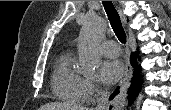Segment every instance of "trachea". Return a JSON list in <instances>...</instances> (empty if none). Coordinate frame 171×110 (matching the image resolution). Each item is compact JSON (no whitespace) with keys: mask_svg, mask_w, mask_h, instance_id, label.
Segmentation results:
<instances>
[{"mask_svg":"<svg viewBox=\"0 0 171 110\" xmlns=\"http://www.w3.org/2000/svg\"><path fill=\"white\" fill-rule=\"evenodd\" d=\"M104 9L107 13L108 19L110 21L111 27L116 34L118 40L121 43H126V34L123 29L120 16L116 11L113 3L111 1H102Z\"/></svg>","mask_w":171,"mask_h":110,"instance_id":"obj_1","label":"trachea"}]
</instances>
